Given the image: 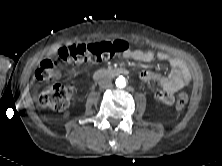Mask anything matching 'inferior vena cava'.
Returning <instances> with one entry per match:
<instances>
[{
    "mask_svg": "<svg viewBox=\"0 0 222 166\" xmlns=\"http://www.w3.org/2000/svg\"><path fill=\"white\" fill-rule=\"evenodd\" d=\"M99 86L101 88H109L112 86V81L108 78H102L101 80H99Z\"/></svg>",
    "mask_w": 222,
    "mask_h": 166,
    "instance_id": "inferior-vena-cava-1",
    "label": "inferior vena cava"
}]
</instances>
